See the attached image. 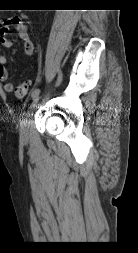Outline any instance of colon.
Returning <instances> with one entry per match:
<instances>
[{
    "label": "colon",
    "instance_id": "1",
    "mask_svg": "<svg viewBox=\"0 0 138 253\" xmlns=\"http://www.w3.org/2000/svg\"><path fill=\"white\" fill-rule=\"evenodd\" d=\"M30 91V83L27 80L21 81L14 89L15 96L18 99H24Z\"/></svg>",
    "mask_w": 138,
    "mask_h": 253
}]
</instances>
